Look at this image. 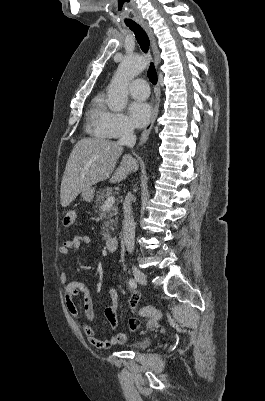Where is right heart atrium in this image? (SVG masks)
Instances as JSON below:
<instances>
[{"instance_id": "obj_1", "label": "right heart atrium", "mask_w": 265, "mask_h": 401, "mask_svg": "<svg viewBox=\"0 0 265 401\" xmlns=\"http://www.w3.org/2000/svg\"><path fill=\"white\" fill-rule=\"evenodd\" d=\"M99 123L101 128L113 138L128 137L134 132V127L126 116L110 109H104L99 116Z\"/></svg>"}]
</instances>
